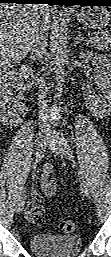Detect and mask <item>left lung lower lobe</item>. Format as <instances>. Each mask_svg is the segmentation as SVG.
Listing matches in <instances>:
<instances>
[{"label":"left lung lower lobe","instance_id":"1","mask_svg":"<svg viewBox=\"0 0 111 257\" xmlns=\"http://www.w3.org/2000/svg\"><path fill=\"white\" fill-rule=\"evenodd\" d=\"M64 5L111 6V0H67Z\"/></svg>","mask_w":111,"mask_h":257}]
</instances>
